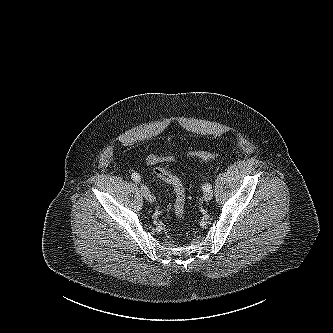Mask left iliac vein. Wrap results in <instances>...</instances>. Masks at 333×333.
Here are the masks:
<instances>
[{"instance_id":"left-iliac-vein-1","label":"left iliac vein","mask_w":333,"mask_h":333,"mask_svg":"<svg viewBox=\"0 0 333 333\" xmlns=\"http://www.w3.org/2000/svg\"><path fill=\"white\" fill-rule=\"evenodd\" d=\"M212 197H213V192H212V190H208V191H206V192L204 193V200H205L206 202L210 201V200L212 199Z\"/></svg>"}]
</instances>
